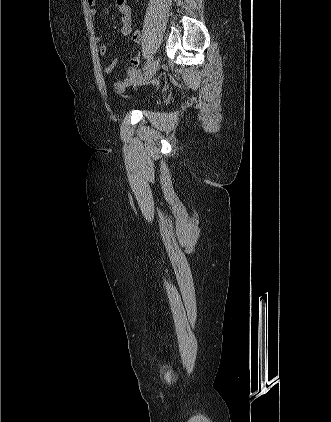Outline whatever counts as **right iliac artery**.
I'll use <instances>...</instances> for the list:
<instances>
[{"instance_id":"obj_1","label":"right iliac artery","mask_w":331,"mask_h":422,"mask_svg":"<svg viewBox=\"0 0 331 422\" xmlns=\"http://www.w3.org/2000/svg\"><path fill=\"white\" fill-rule=\"evenodd\" d=\"M151 64H152L151 59H148V60L146 61V63L144 64L143 71L147 70V69H148V67H149Z\"/></svg>"}]
</instances>
